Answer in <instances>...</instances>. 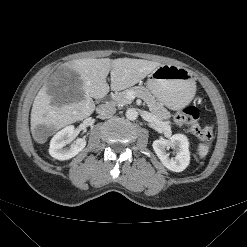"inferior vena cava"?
<instances>
[{"label":"inferior vena cava","mask_w":247,"mask_h":247,"mask_svg":"<svg viewBox=\"0 0 247 247\" xmlns=\"http://www.w3.org/2000/svg\"><path fill=\"white\" fill-rule=\"evenodd\" d=\"M96 111L101 117H109L116 113V108L112 105L104 104L97 108Z\"/></svg>","instance_id":"inferior-vena-cava-1"}]
</instances>
